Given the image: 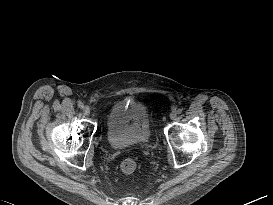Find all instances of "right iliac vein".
<instances>
[{
	"label": "right iliac vein",
	"instance_id": "right-iliac-vein-1",
	"mask_svg": "<svg viewBox=\"0 0 273 205\" xmlns=\"http://www.w3.org/2000/svg\"><path fill=\"white\" fill-rule=\"evenodd\" d=\"M83 113H84V115L88 116L90 114V108L88 106H84L83 107Z\"/></svg>",
	"mask_w": 273,
	"mask_h": 205
}]
</instances>
